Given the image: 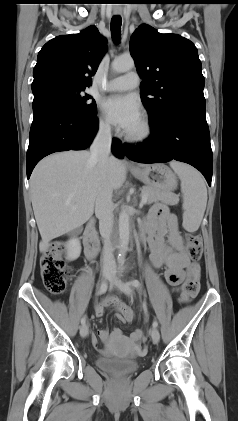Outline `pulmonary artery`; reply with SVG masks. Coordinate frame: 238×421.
<instances>
[{
    "instance_id": "e3ab8cb5",
    "label": "pulmonary artery",
    "mask_w": 238,
    "mask_h": 421,
    "mask_svg": "<svg viewBox=\"0 0 238 421\" xmlns=\"http://www.w3.org/2000/svg\"><path fill=\"white\" fill-rule=\"evenodd\" d=\"M139 76L136 72H128L122 76L116 77L107 82L105 90L107 91H125L137 87Z\"/></svg>"
}]
</instances>
